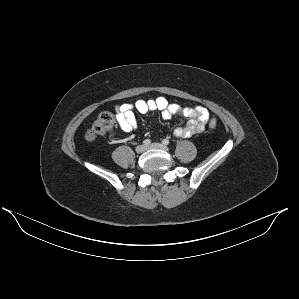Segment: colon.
I'll return each instance as SVG.
<instances>
[{"label": "colon", "instance_id": "5ec220e1", "mask_svg": "<svg viewBox=\"0 0 299 299\" xmlns=\"http://www.w3.org/2000/svg\"><path fill=\"white\" fill-rule=\"evenodd\" d=\"M115 124V117L110 112H103L93 121L86 131L85 137L88 140L95 139L99 136L108 134ZM217 121L213 118L209 121V127L215 129Z\"/></svg>", "mask_w": 299, "mask_h": 299}]
</instances>
